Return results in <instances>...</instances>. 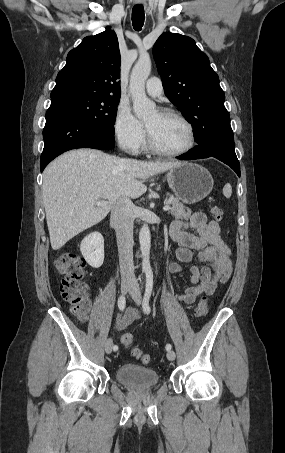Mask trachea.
<instances>
[{
    "instance_id": "1",
    "label": "trachea",
    "mask_w": 285,
    "mask_h": 453,
    "mask_svg": "<svg viewBox=\"0 0 285 453\" xmlns=\"http://www.w3.org/2000/svg\"><path fill=\"white\" fill-rule=\"evenodd\" d=\"M144 19V7L142 5H135L132 9V25L136 31H140L142 29Z\"/></svg>"
}]
</instances>
